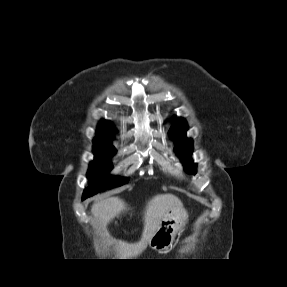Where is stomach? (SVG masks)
Instances as JSON below:
<instances>
[{
	"label": "stomach",
	"mask_w": 287,
	"mask_h": 287,
	"mask_svg": "<svg viewBox=\"0 0 287 287\" xmlns=\"http://www.w3.org/2000/svg\"><path fill=\"white\" fill-rule=\"evenodd\" d=\"M187 219L188 214L184 208L166 213L152 236L149 246L158 252L168 250L173 245L176 234L185 226Z\"/></svg>",
	"instance_id": "stomach-1"
}]
</instances>
